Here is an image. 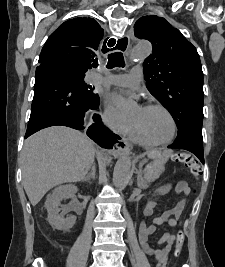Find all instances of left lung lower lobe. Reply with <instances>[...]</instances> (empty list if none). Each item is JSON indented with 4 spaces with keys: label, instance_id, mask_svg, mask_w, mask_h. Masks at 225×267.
I'll return each instance as SVG.
<instances>
[{
    "label": "left lung lower lobe",
    "instance_id": "obj_1",
    "mask_svg": "<svg viewBox=\"0 0 225 267\" xmlns=\"http://www.w3.org/2000/svg\"><path fill=\"white\" fill-rule=\"evenodd\" d=\"M168 148L188 150L195 154L204 164L202 127L193 126L181 138L176 139L175 143L168 146Z\"/></svg>",
    "mask_w": 225,
    "mask_h": 267
}]
</instances>
